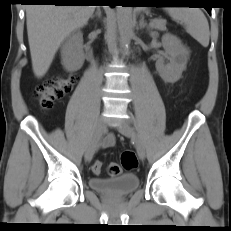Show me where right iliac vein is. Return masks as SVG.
I'll return each instance as SVG.
<instances>
[{
	"label": "right iliac vein",
	"instance_id": "obj_1",
	"mask_svg": "<svg viewBox=\"0 0 231 231\" xmlns=\"http://www.w3.org/2000/svg\"><path fill=\"white\" fill-rule=\"evenodd\" d=\"M105 131V125L102 119H99L95 125L94 135L92 140L90 141L86 152H85V160L86 162H90L94 156L96 148L98 146V142L101 139L102 135Z\"/></svg>",
	"mask_w": 231,
	"mask_h": 231
}]
</instances>
